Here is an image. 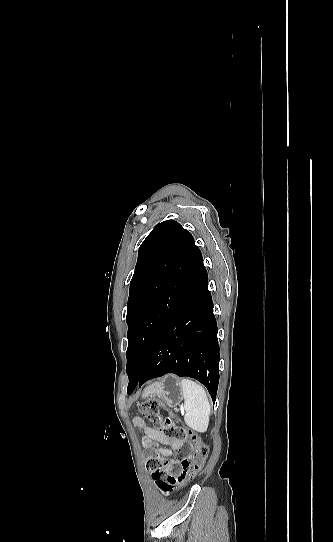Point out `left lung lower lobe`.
Masks as SVG:
<instances>
[{"instance_id":"0a47b994","label":"left lung lower lobe","mask_w":333,"mask_h":542,"mask_svg":"<svg viewBox=\"0 0 333 542\" xmlns=\"http://www.w3.org/2000/svg\"><path fill=\"white\" fill-rule=\"evenodd\" d=\"M204 269L190 291L158 332L127 393L149 379L174 373L201 382L215 402L219 383V345L213 302Z\"/></svg>"}]
</instances>
